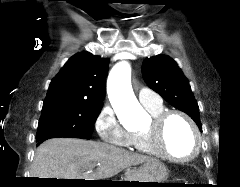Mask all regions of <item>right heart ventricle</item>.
Masks as SVG:
<instances>
[{"instance_id":"right-heart-ventricle-1","label":"right heart ventricle","mask_w":240,"mask_h":187,"mask_svg":"<svg viewBox=\"0 0 240 187\" xmlns=\"http://www.w3.org/2000/svg\"><path fill=\"white\" fill-rule=\"evenodd\" d=\"M152 116H156L164 111L163 105L158 107H145ZM130 146L135 151L146 154V155H155L151 150L148 139L144 135L143 131H137L131 133V143Z\"/></svg>"}]
</instances>
